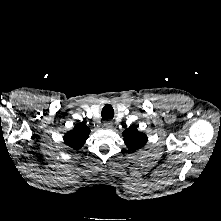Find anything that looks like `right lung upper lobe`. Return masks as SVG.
<instances>
[{
    "label": "right lung upper lobe",
    "mask_w": 221,
    "mask_h": 221,
    "mask_svg": "<svg viewBox=\"0 0 221 221\" xmlns=\"http://www.w3.org/2000/svg\"><path fill=\"white\" fill-rule=\"evenodd\" d=\"M89 133L90 129L84 123H78L73 130L65 134L64 141L70 147L79 149L84 145Z\"/></svg>",
    "instance_id": "1"
}]
</instances>
